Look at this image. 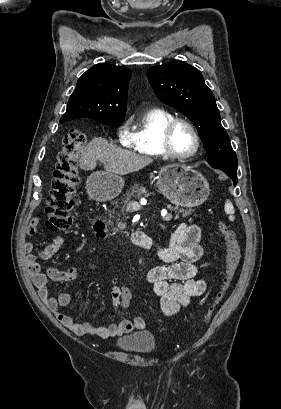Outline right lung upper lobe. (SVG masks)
Here are the masks:
<instances>
[{"instance_id":"obj_1","label":"right lung upper lobe","mask_w":281,"mask_h":409,"mask_svg":"<svg viewBox=\"0 0 281 409\" xmlns=\"http://www.w3.org/2000/svg\"><path fill=\"white\" fill-rule=\"evenodd\" d=\"M131 70L100 63L91 67L78 80L70 96L67 111L60 123L76 119H124Z\"/></svg>"}]
</instances>
